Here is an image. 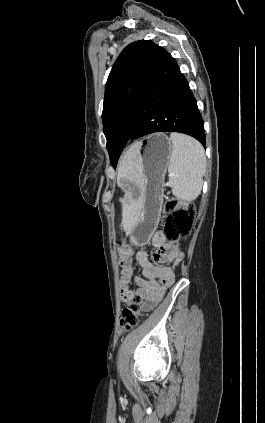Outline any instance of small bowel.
<instances>
[{
    "label": "small bowel",
    "instance_id": "obj_1",
    "mask_svg": "<svg viewBox=\"0 0 265 423\" xmlns=\"http://www.w3.org/2000/svg\"><path fill=\"white\" fill-rule=\"evenodd\" d=\"M151 244L156 249L153 254L154 261L149 260L145 251L136 254V259L142 268V276L134 274L132 250L126 258H119L121 301L124 305H130L134 302V298L138 297L143 300L142 309L145 312L151 311L163 299L166 289L175 281L173 267L184 258V253L177 246L166 242L162 231L153 234ZM166 263H170L171 266ZM132 282L138 286L136 290L130 288Z\"/></svg>",
    "mask_w": 265,
    "mask_h": 423
}]
</instances>
